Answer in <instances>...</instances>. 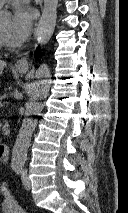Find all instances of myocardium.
I'll list each match as a JSON object with an SVG mask.
<instances>
[{"label": "myocardium", "mask_w": 128, "mask_h": 213, "mask_svg": "<svg viewBox=\"0 0 128 213\" xmlns=\"http://www.w3.org/2000/svg\"><path fill=\"white\" fill-rule=\"evenodd\" d=\"M0 42L1 45L5 46L8 49L14 48V44L12 43V41L2 32H0Z\"/></svg>", "instance_id": "1"}]
</instances>
